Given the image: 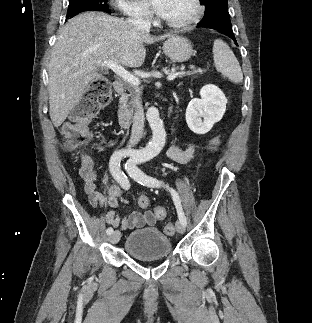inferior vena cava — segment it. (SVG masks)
I'll return each instance as SVG.
<instances>
[{"label": "inferior vena cava", "instance_id": "602c4592", "mask_svg": "<svg viewBox=\"0 0 312 323\" xmlns=\"http://www.w3.org/2000/svg\"><path fill=\"white\" fill-rule=\"evenodd\" d=\"M144 16L145 12L138 8V10H134V12H132L131 18H128L126 22L127 24H132V26H134V28H137V30H144V32H147V30H150L151 24L150 22H148V20H145ZM144 122L145 118L143 108L140 102H138L137 112L136 114H134L131 136L128 142L129 146H136V144L140 142V138L144 130Z\"/></svg>", "mask_w": 312, "mask_h": 323}]
</instances>
